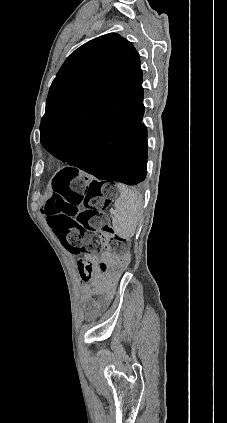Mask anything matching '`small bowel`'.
<instances>
[{
	"instance_id": "1",
	"label": "small bowel",
	"mask_w": 227,
	"mask_h": 423,
	"mask_svg": "<svg viewBox=\"0 0 227 423\" xmlns=\"http://www.w3.org/2000/svg\"><path fill=\"white\" fill-rule=\"evenodd\" d=\"M87 261L92 265L90 260ZM124 266V260H117L111 255H105L103 257L98 266L102 276L96 279L94 283L95 289L92 291L89 288H83L82 290V303L88 319H93L101 314L109 303L108 298H102L99 300L94 299L92 297L93 293L101 290L105 284L110 285L114 277L124 268Z\"/></svg>"
}]
</instances>
